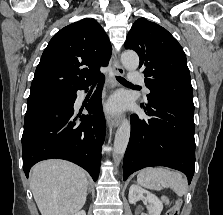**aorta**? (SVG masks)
Returning <instances> with one entry per match:
<instances>
[{
	"mask_svg": "<svg viewBox=\"0 0 223 215\" xmlns=\"http://www.w3.org/2000/svg\"><path fill=\"white\" fill-rule=\"evenodd\" d=\"M121 64H123L126 70H137L139 66V56L136 52H123L121 54ZM130 137V121L129 119H123L121 121L114 139V157L117 155H123L128 145Z\"/></svg>",
	"mask_w": 223,
	"mask_h": 215,
	"instance_id": "aorta-1",
	"label": "aorta"
}]
</instances>
